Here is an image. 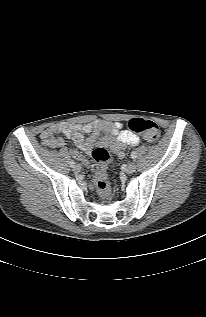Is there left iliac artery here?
Instances as JSON below:
<instances>
[{"label":"left iliac artery","instance_id":"44dca946","mask_svg":"<svg viewBox=\"0 0 206 317\" xmlns=\"http://www.w3.org/2000/svg\"><path fill=\"white\" fill-rule=\"evenodd\" d=\"M137 157V153L135 152V151H133L132 153H131V158L132 159H135Z\"/></svg>","mask_w":206,"mask_h":317}]
</instances>
